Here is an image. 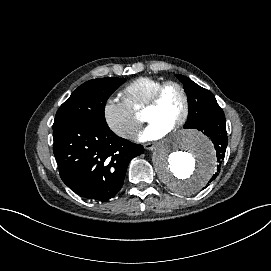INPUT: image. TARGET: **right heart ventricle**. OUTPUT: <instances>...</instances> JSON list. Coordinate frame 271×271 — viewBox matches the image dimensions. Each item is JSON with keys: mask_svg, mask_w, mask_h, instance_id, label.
<instances>
[{"mask_svg": "<svg viewBox=\"0 0 271 271\" xmlns=\"http://www.w3.org/2000/svg\"><path fill=\"white\" fill-rule=\"evenodd\" d=\"M163 82V79L143 76L139 77L123 88V94L130 109L135 113L143 112L150 102L155 89Z\"/></svg>", "mask_w": 271, "mask_h": 271, "instance_id": "e07e8e85", "label": "right heart ventricle"}]
</instances>
